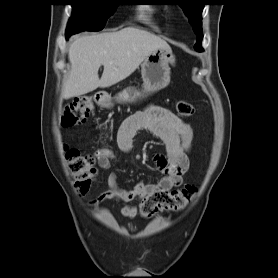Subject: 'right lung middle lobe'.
Returning <instances> with one entry per match:
<instances>
[{
    "label": "right lung middle lobe",
    "instance_id": "right-lung-middle-lobe-1",
    "mask_svg": "<svg viewBox=\"0 0 278 278\" xmlns=\"http://www.w3.org/2000/svg\"><path fill=\"white\" fill-rule=\"evenodd\" d=\"M119 0H70L73 15L70 18L66 35L81 31H99L119 5Z\"/></svg>",
    "mask_w": 278,
    "mask_h": 278
}]
</instances>
